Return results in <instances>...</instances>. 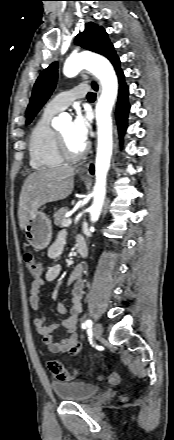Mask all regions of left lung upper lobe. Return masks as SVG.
I'll return each mask as SVG.
<instances>
[{
	"label": "left lung upper lobe",
	"mask_w": 174,
	"mask_h": 440,
	"mask_svg": "<svg viewBox=\"0 0 174 440\" xmlns=\"http://www.w3.org/2000/svg\"><path fill=\"white\" fill-rule=\"evenodd\" d=\"M76 43L87 50L105 56L109 60L116 55L105 29L92 22L86 24L84 32L77 36ZM57 75L58 64L54 62L44 69L38 77L27 108V124L32 121L34 116L50 97L56 86Z\"/></svg>",
	"instance_id": "1"
}]
</instances>
